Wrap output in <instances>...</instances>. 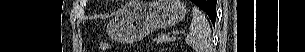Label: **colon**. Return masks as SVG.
Wrapping results in <instances>:
<instances>
[{"label": "colon", "instance_id": "5ec220e1", "mask_svg": "<svg viewBox=\"0 0 305 52\" xmlns=\"http://www.w3.org/2000/svg\"><path fill=\"white\" fill-rule=\"evenodd\" d=\"M100 50H108L110 48V45L107 42H101L99 46Z\"/></svg>", "mask_w": 305, "mask_h": 52}]
</instances>
